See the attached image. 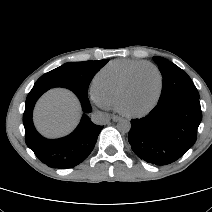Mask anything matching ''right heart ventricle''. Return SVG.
Wrapping results in <instances>:
<instances>
[{"mask_svg":"<svg viewBox=\"0 0 212 212\" xmlns=\"http://www.w3.org/2000/svg\"><path fill=\"white\" fill-rule=\"evenodd\" d=\"M143 63L146 62L126 59L114 60L96 74L94 87L111 105H114L129 73Z\"/></svg>","mask_w":212,"mask_h":212,"instance_id":"1","label":"right heart ventricle"}]
</instances>
